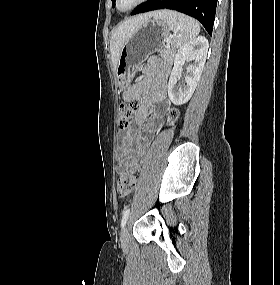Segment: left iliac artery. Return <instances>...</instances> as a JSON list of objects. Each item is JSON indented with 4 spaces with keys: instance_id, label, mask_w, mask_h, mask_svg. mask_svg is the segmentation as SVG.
I'll return each instance as SVG.
<instances>
[{
    "instance_id": "44dca946",
    "label": "left iliac artery",
    "mask_w": 280,
    "mask_h": 285,
    "mask_svg": "<svg viewBox=\"0 0 280 285\" xmlns=\"http://www.w3.org/2000/svg\"><path fill=\"white\" fill-rule=\"evenodd\" d=\"M130 209H126L123 213L122 220H121V227L123 228L127 222L129 216Z\"/></svg>"
}]
</instances>
